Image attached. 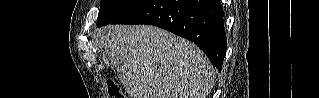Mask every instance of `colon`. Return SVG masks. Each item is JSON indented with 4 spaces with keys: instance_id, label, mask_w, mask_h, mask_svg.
Listing matches in <instances>:
<instances>
[{
    "instance_id": "5ec220e1",
    "label": "colon",
    "mask_w": 319,
    "mask_h": 98,
    "mask_svg": "<svg viewBox=\"0 0 319 98\" xmlns=\"http://www.w3.org/2000/svg\"><path fill=\"white\" fill-rule=\"evenodd\" d=\"M106 86L109 98H126L125 94L114 81L108 80Z\"/></svg>"
}]
</instances>
